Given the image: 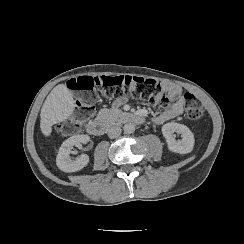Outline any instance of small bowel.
Returning <instances> with one entry per match:
<instances>
[{
	"label": "small bowel",
	"instance_id": "c3829d8e",
	"mask_svg": "<svg viewBox=\"0 0 244 244\" xmlns=\"http://www.w3.org/2000/svg\"><path fill=\"white\" fill-rule=\"evenodd\" d=\"M162 88L165 91L170 105L165 107L161 112H159L153 119L154 123L157 125H163L173 120L179 119L185 108L186 100L182 93V89L179 85L164 82ZM128 97L126 95L118 98L115 103L117 105L123 104Z\"/></svg>",
	"mask_w": 244,
	"mask_h": 244
}]
</instances>
